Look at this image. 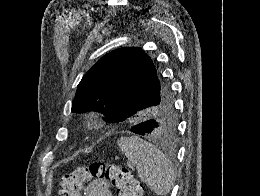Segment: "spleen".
<instances>
[{
    "label": "spleen",
    "mask_w": 260,
    "mask_h": 196,
    "mask_svg": "<svg viewBox=\"0 0 260 196\" xmlns=\"http://www.w3.org/2000/svg\"><path fill=\"white\" fill-rule=\"evenodd\" d=\"M117 146L128 162L135 166L141 182L157 196H166L174 186L176 172L167 156L139 136L119 138Z\"/></svg>",
    "instance_id": "obj_1"
}]
</instances>
